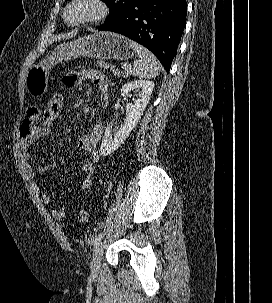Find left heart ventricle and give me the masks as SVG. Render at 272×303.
<instances>
[{
    "mask_svg": "<svg viewBox=\"0 0 272 303\" xmlns=\"http://www.w3.org/2000/svg\"><path fill=\"white\" fill-rule=\"evenodd\" d=\"M94 12V7L88 3H80L75 5L69 14V18L73 21L85 18Z\"/></svg>",
    "mask_w": 272,
    "mask_h": 303,
    "instance_id": "obj_1",
    "label": "left heart ventricle"
}]
</instances>
